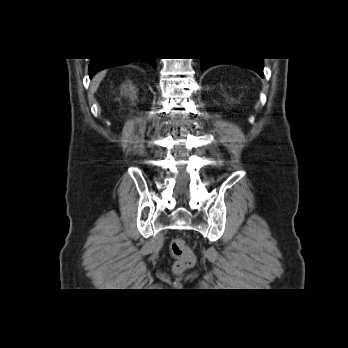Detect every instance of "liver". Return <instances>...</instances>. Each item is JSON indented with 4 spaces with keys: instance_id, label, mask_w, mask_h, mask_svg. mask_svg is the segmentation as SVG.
<instances>
[{
    "instance_id": "6515ba94",
    "label": "liver",
    "mask_w": 348,
    "mask_h": 348,
    "mask_svg": "<svg viewBox=\"0 0 348 348\" xmlns=\"http://www.w3.org/2000/svg\"><path fill=\"white\" fill-rule=\"evenodd\" d=\"M106 75V71H102L100 73H98L92 80L91 83V91L95 92L97 90V88L99 87L100 82L103 80V78Z\"/></svg>"
}]
</instances>
